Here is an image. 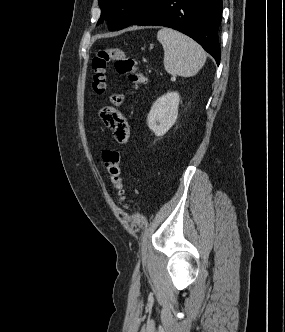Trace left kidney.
Returning a JSON list of instances; mask_svg holds the SVG:
<instances>
[{
	"label": "left kidney",
	"mask_w": 285,
	"mask_h": 332,
	"mask_svg": "<svg viewBox=\"0 0 285 332\" xmlns=\"http://www.w3.org/2000/svg\"><path fill=\"white\" fill-rule=\"evenodd\" d=\"M180 96L177 92H168L159 97L148 114V126L156 136H163L174 125L178 116Z\"/></svg>",
	"instance_id": "1"
}]
</instances>
